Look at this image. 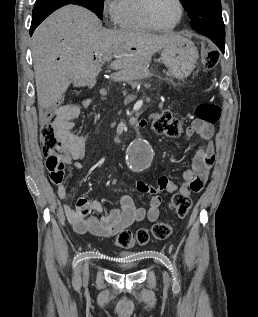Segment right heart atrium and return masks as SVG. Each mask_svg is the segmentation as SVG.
<instances>
[{"label":"right heart atrium","mask_w":258,"mask_h":317,"mask_svg":"<svg viewBox=\"0 0 258 317\" xmlns=\"http://www.w3.org/2000/svg\"><path fill=\"white\" fill-rule=\"evenodd\" d=\"M102 13L106 23L110 27L117 26L119 17V1L105 0L102 3Z\"/></svg>","instance_id":"right-heart-atrium-1"}]
</instances>
